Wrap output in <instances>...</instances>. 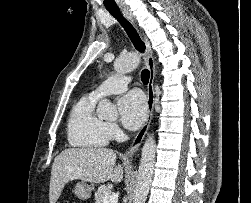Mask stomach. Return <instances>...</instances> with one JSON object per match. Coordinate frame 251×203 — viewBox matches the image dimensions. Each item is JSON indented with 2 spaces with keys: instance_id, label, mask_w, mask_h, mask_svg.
Segmentation results:
<instances>
[{
  "instance_id": "stomach-1",
  "label": "stomach",
  "mask_w": 251,
  "mask_h": 203,
  "mask_svg": "<svg viewBox=\"0 0 251 203\" xmlns=\"http://www.w3.org/2000/svg\"><path fill=\"white\" fill-rule=\"evenodd\" d=\"M93 187L85 181H80L76 184L74 193L81 200H87L91 197Z\"/></svg>"
}]
</instances>
